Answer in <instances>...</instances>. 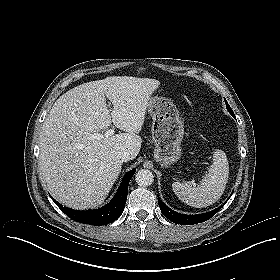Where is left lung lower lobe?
<instances>
[{
	"label": "left lung lower lobe",
	"instance_id": "obj_1",
	"mask_svg": "<svg viewBox=\"0 0 280 280\" xmlns=\"http://www.w3.org/2000/svg\"><path fill=\"white\" fill-rule=\"evenodd\" d=\"M158 204L161 209L162 214L176 224H184V225H193L196 223L204 222L214 216L219 210L215 209L208 213L197 214V215H184L178 212L173 211L172 209L168 208L159 198Z\"/></svg>",
	"mask_w": 280,
	"mask_h": 280
}]
</instances>
